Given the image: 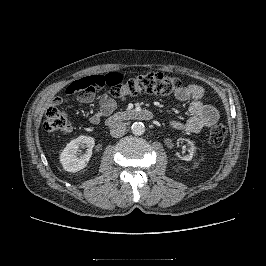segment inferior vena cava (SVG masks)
<instances>
[{
	"mask_svg": "<svg viewBox=\"0 0 266 266\" xmlns=\"http://www.w3.org/2000/svg\"><path fill=\"white\" fill-rule=\"evenodd\" d=\"M126 131V124L124 122H116L111 126L110 134L112 137L119 138L124 135Z\"/></svg>",
	"mask_w": 266,
	"mask_h": 266,
	"instance_id": "602c4592",
	"label": "inferior vena cava"
}]
</instances>
